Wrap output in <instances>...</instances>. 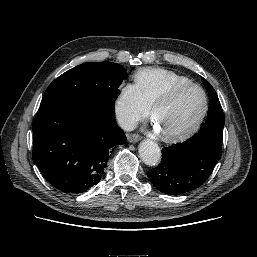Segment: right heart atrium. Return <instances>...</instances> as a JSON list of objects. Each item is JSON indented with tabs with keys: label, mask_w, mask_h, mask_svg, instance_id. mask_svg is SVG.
<instances>
[{
	"label": "right heart atrium",
	"mask_w": 257,
	"mask_h": 257,
	"mask_svg": "<svg viewBox=\"0 0 257 257\" xmlns=\"http://www.w3.org/2000/svg\"><path fill=\"white\" fill-rule=\"evenodd\" d=\"M150 106L135 83L123 84L115 100V113L120 124L130 128L149 113Z\"/></svg>",
	"instance_id": "d8ad5b80"
}]
</instances>
